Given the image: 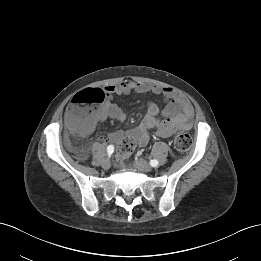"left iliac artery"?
Listing matches in <instances>:
<instances>
[{
    "instance_id": "44dca946",
    "label": "left iliac artery",
    "mask_w": 261,
    "mask_h": 261,
    "mask_svg": "<svg viewBox=\"0 0 261 261\" xmlns=\"http://www.w3.org/2000/svg\"><path fill=\"white\" fill-rule=\"evenodd\" d=\"M158 164H159V162H158L156 159H153V160L150 161V165H151L152 167H157Z\"/></svg>"
}]
</instances>
